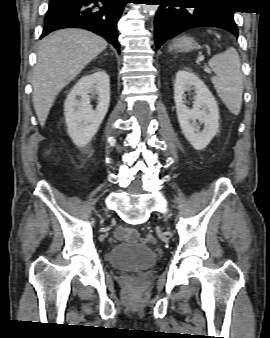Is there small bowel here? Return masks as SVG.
Masks as SVG:
<instances>
[{
	"label": "small bowel",
	"instance_id": "obj_1",
	"mask_svg": "<svg viewBox=\"0 0 270 338\" xmlns=\"http://www.w3.org/2000/svg\"><path fill=\"white\" fill-rule=\"evenodd\" d=\"M117 236L121 239H124V238L135 239L136 238V232L133 229L120 228L117 231Z\"/></svg>",
	"mask_w": 270,
	"mask_h": 338
}]
</instances>
